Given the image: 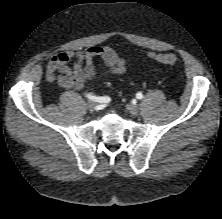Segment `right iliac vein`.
I'll return each mask as SVG.
<instances>
[{"label":"right iliac vein","mask_w":222,"mask_h":219,"mask_svg":"<svg viewBox=\"0 0 222 219\" xmlns=\"http://www.w3.org/2000/svg\"><path fill=\"white\" fill-rule=\"evenodd\" d=\"M96 105H97V102H95V101H89V102L87 103V107H88L90 110H94L95 107H96Z\"/></svg>","instance_id":"right-iliac-vein-1"}]
</instances>
